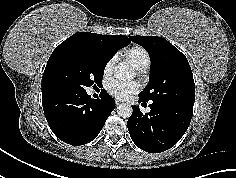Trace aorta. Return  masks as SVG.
I'll return each instance as SVG.
<instances>
[{
  "label": "aorta",
  "instance_id": "762f6f07",
  "mask_svg": "<svg viewBox=\"0 0 236 178\" xmlns=\"http://www.w3.org/2000/svg\"><path fill=\"white\" fill-rule=\"evenodd\" d=\"M132 76L133 72L130 67L124 63L118 64L114 70V77L119 81L131 79ZM132 112V107L128 104H120L117 107V114L122 118H129Z\"/></svg>",
  "mask_w": 236,
  "mask_h": 178
}]
</instances>
